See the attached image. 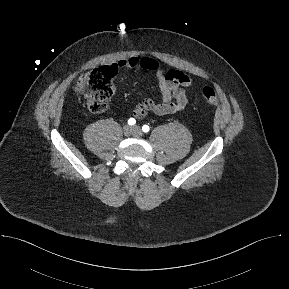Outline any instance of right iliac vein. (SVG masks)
<instances>
[{
    "mask_svg": "<svg viewBox=\"0 0 289 289\" xmlns=\"http://www.w3.org/2000/svg\"><path fill=\"white\" fill-rule=\"evenodd\" d=\"M123 133L125 136H130L131 134H133V128L129 125H125L123 127Z\"/></svg>",
    "mask_w": 289,
    "mask_h": 289,
    "instance_id": "63e3f726",
    "label": "right iliac vein"
}]
</instances>
